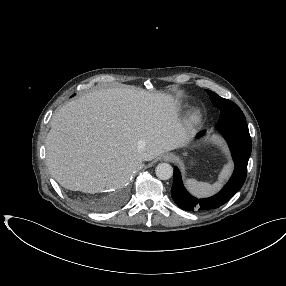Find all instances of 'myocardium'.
Here are the masks:
<instances>
[{
    "mask_svg": "<svg viewBox=\"0 0 286 286\" xmlns=\"http://www.w3.org/2000/svg\"><path fill=\"white\" fill-rule=\"evenodd\" d=\"M194 117H195V119H199V117H200L199 112H195Z\"/></svg>",
    "mask_w": 286,
    "mask_h": 286,
    "instance_id": "f54148a6",
    "label": "myocardium"
}]
</instances>
